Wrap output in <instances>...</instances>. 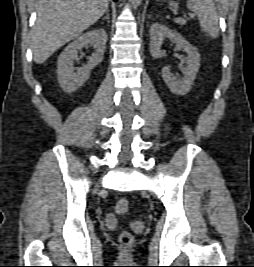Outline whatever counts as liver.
I'll return each instance as SVG.
<instances>
[{"label": "liver", "instance_id": "obj_1", "mask_svg": "<svg viewBox=\"0 0 254 267\" xmlns=\"http://www.w3.org/2000/svg\"><path fill=\"white\" fill-rule=\"evenodd\" d=\"M108 5L109 0H40L31 32L35 63H44L60 47L96 23Z\"/></svg>", "mask_w": 254, "mask_h": 267}]
</instances>
